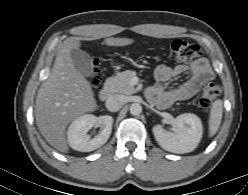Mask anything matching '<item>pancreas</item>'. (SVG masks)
Here are the masks:
<instances>
[{"instance_id":"obj_1","label":"pancreas","mask_w":248,"mask_h":195,"mask_svg":"<svg viewBox=\"0 0 248 195\" xmlns=\"http://www.w3.org/2000/svg\"><path fill=\"white\" fill-rule=\"evenodd\" d=\"M136 76V72L132 70L123 71L117 73L107 79L106 87L112 93H120L125 95H130L135 92L134 86L131 84V79Z\"/></svg>"}]
</instances>
